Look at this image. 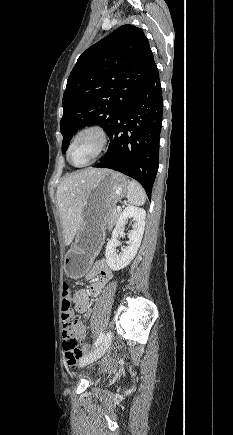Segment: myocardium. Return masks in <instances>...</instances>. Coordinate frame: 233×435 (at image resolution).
Masks as SVG:
<instances>
[{
  "label": "myocardium",
  "instance_id": "obj_1",
  "mask_svg": "<svg viewBox=\"0 0 233 435\" xmlns=\"http://www.w3.org/2000/svg\"><path fill=\"white\" fill-rule=\"evenodd\" d=\"M87 136L93 137L96 140V142H97L96 151L90 160H88L87 162H85L83 164L75 165L70 161V151L77 141H79L81 138L87 137ZM107 142H108V134L102 127L97 126V125L84 126V127L80 128L74 134L73 138L71 139V141L67 147L66 158H67L68 162L73 167H77V168L87 167L98 160V158L103 153V151L107 145Z\"/></svg>",
  "mask_w": 233,
  "mask_h": 435
}]
</instances>
